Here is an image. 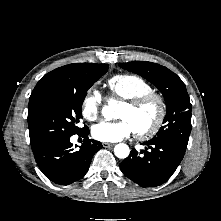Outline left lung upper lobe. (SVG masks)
I'll return each mask as SVG.
<instances>
[{
  "instance_id": "obj_1",
  "label": "left lung upper lobe",
  "mask_w": 221,
  "mask_h": 221,
  "mask_svg": "<svg viewBox=\"0 0 221 221\" xmlns=\"http://www.w3.org/2000/svg\"><path fill=\"white\" fill-rule=\"evenodd\" d=\"M119 66L139 74L163 94L167 113L163 126L152 140L170 141L186 148L191 132V103L182 80L164 66L147 61L121 63Z\"/></svg>"
}]
</instances>
